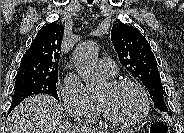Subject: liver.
<instances>
[{
  "instance_id": "6515ba94",
  "label": "liver",
  "mask_w": 184,
  "mask_h": 133,
  "mask_svg": "<svg viewBox=\"0 0 184 133\" xmlns=\"http://www.w3.org/2000/svg\"><path fill=\"white\" fill-rule=\"evenodd\" d=\"M63 110L51 96L26 98L10 114L7 133H98L96 129L73 127L64 122Z\"/></svg>"
}]
</instances>
